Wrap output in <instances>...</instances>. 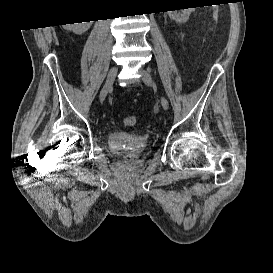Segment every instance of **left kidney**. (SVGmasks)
<instances>
[{
  "mask_svg": "<svg viewBox=\"0 0 273 273\" xmlns=\"http://www.w3.org/2000/svg\"><path fill=\"white\" fill-rule=\"evenodd\" d=\"M194 8L180 9L168 11L169 17L177 23H185L188 21L190 14L194 11Z\"/></svg>",
  "mask_w": 273,
  "mask_h": 273,
  "instance_id": "left-kidney-1",
  "label": "left kidney"
}]
</instances>
